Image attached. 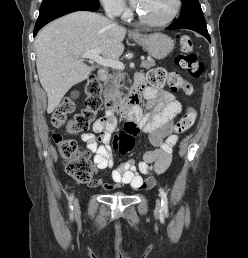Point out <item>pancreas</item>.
I'll use <instances>...</instances> for the list:
<instances>
[{"instance_id": "1", "label": "pancreas", "mask_w": 248, "mask_h": 258, "mask_svg": "<svg viewBox=\"0 0 248 258\" xmlns=\"http://www.w3.org/2000/svg\"><path fill=\"white\" fill-rule=\"evenodd\" d=\"M141 66L143 68L149 69L155 66L154 59H149L142 61ZM125 78L124 73L120 70H114L111 75L108 76L107 80L104 83L105 92L109 99H114L115 96L120 94V89L123 87L121 81Z\"/></svg>"}]
</instances>
